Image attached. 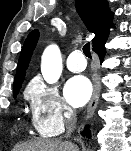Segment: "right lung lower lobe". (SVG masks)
Segmentation results:
<instances>
[{
  "instance_id": "right-lung-lower-lobe-1",
  "label": "right lung lower lobe",
  "mask_w": 131,
  "mask_h": 151,
  "mask_svg": "<svg viewBox=\"0 0 131 151\" xmlns=\"http://www.w3.org/2000/svg\"><path fill=\"white\" fill-rule=\"evenodd\" d=\"M106 40L100 44H98L97 46H95L93 48V50L99 55V58H100V62L102 63L103 62V58L105 56V44ZM83 136H86V137H90V131L89 129L86 127L85 130L83 131Z\"/></svg>"
}]
</instances>
